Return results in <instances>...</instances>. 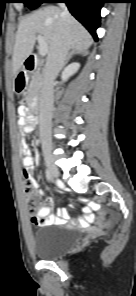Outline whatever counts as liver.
I'll list each match as a JSON object with an SVG mask.
<instances>
[{
  "label": "liver",
  "instance_id": "liver-1",
  "mask_svg": "<svg viewBox=\"0 0 136 296\" xmlns=\"http://www.w3.org/2000/svg\"><path fill=\"white\" fill-rule=\"evenodd\" d=\"M62 23L61 9L56 6L39 9L20 22L12 56L14 77L19 73L24 61L32 54L37 34L43 36L48 44L47 53L50 54L57 43ZM68 24L70 48L75 51L88 49L93 42L88 31L71 15Z\"/></svg>",
  "mask_w": 136,
  "mask_h": 296
}]
</instances>
